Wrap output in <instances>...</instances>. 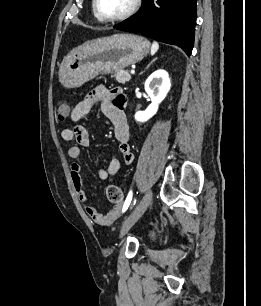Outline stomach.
<instances>
[{"mask_svg":"<svg viewBox=\"0 0 261 306\" xmlns=\"http://www.w3.org/2000/svg\"><path fill=\"white\" fill-rule=\"evenodd\" d=\"M150 42L135 34L117 33L86 43L71 51L59 69V81L76 88L98 75L110 74L141 61Z\"/></svg>","mask_w":261,"mask_h":306,"instance_id":"1","label":"stomach"}]
</instances>
